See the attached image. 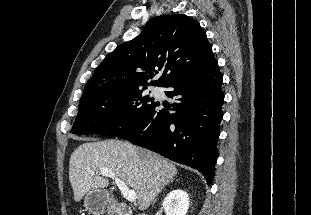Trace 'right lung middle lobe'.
Returning <instances> with one entry per match:
<instances>
[{"label":"right lung middle lobe","mask_w":311,"mask_h":215,"mask_svg":"<svg viewBox=\"0 0 311 215\" xmlns=\"http://www.w3.org/2000/svg\"><path fill=\"white\" fill-rule=\"evenodd\" d=\"M146 89L110 92L80 101L71 132L117 136L132 129L159 104Z\"/></svg>","instance_id":"obj_1"}]
</instances>
